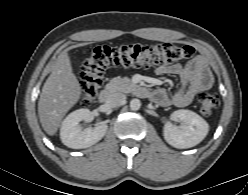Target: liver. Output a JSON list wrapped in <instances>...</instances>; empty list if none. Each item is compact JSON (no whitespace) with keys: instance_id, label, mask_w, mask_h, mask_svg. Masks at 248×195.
Returning a JSON list of instances; mask_svg holds the SVG:
<instances>
[{"instance_id":"1","label":"liver","mask_w":248,"mask_h":195,"mask_svg":"<svg viewBox=\"0 0 248 195\" xmlns=\"http://www.w3.org/2000/svg\"><path fill=\"white\" fill-rule=\"evenodd\" d=\"M81 91L68 53L63 51L53 64L38 101L40 123L48 135L56 134L66 113L79 101Z\"/></svg>"}]
</instances>
